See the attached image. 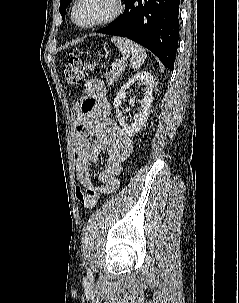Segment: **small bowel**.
Listing matches in <instances>:
<instances>
[{
    "mask_svg": "<svg viewBox=\"0 0 239 303\" xmlns=\"http://www.w3.org/2000/svg\"><path fill=\"white\" fill-rule=\"evenodd\" d=\"M74 115L76 178L84 187H95L103 194L113 193L119 187V175L133 150V143L112 120L101 80L91 79L86 83ZM101 152L107 153L106 166L98 175L99 185L94 186L89 166L98 160Z\"/></svg>",
    "mask_w": 239,
    "mask_h": 303,
    "instance_id": "obj_1",
    "label": "small bowel"
}]
</instances>
